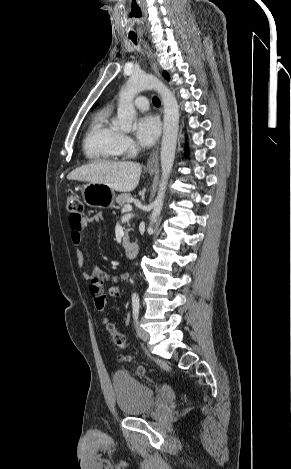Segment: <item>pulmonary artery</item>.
<instances>
[{
	"label": "pulmonary artery",
	"mask_w": 291,
	"mask_h": 469,
	"mask_svg": "<svg viewBox=\"0 0 291 469\" xmlns=\"http://www.w3.org/2000/svg\"><path fill=\"white\" fill-rule=\"evenodd\" d=\"M134 105L140 110H147L149 107L148 99L144 96H139L134 100Z\"/></svg>",
	"instance_id": "1"
}]
</instances>
